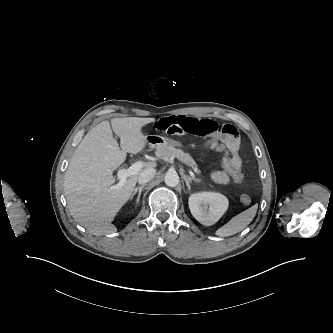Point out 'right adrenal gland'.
<instances>
[{
	"instance_id": "1",
	"label": "right adrenal gland",
	"mask_w": 333,
	"mask_h": 333,
	"mask_svg": "<svg viewBox=\"0 0 333 333\" xmlns=\"http://www.w3.org/2000/svg\"><path fill=\"white\" fill-rule=\"evenodd\" d=\"M145 187V185H141L140 187H137L134 189V192L132 193L130 199L132 200L134 195L138 192V196H137V200H136V203L138 204L139 203V199H140V196H141V192L143 190V188Z\"/></svg>"
}]
</instances>
